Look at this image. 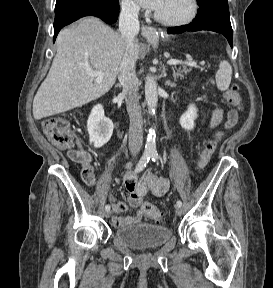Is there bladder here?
<instances>
[{
	"mask_svg": "<svg viewBox=\"0 0 273 288\" xmlns=\"http://www.w3.org/2000/svg\"><path fill=\"white\" fill-rule=\"evenodd\" d=\"M172 236L169 228L149 223L125 225L119 227L114 233V238L121 245L135 250L159 248Z\"/></svg>",
	"mask_w": 273,
	"mask_h": 288,
	"instance_id": "1",
	"label": "bladder"
}]
</instances>
